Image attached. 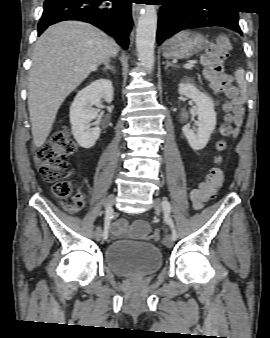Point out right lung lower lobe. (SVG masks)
Segmentation results:
<instances>
[{"mask_svg":"<svg viewBox=\"0 0 270 338\" xmlns=\"http://www.w3.org/2000/svg\"><path fill=\"white\" fill-rule=\"evenodd\" d=\"M131 3L132 0H45L38 35L54 23L80 20L104 30L127 49L133 26Z\"/></svg>","mask_w":270,"mask_h":338,"instance_id":"obj_1","label":"right lung lower lobe"}]
</instances>
